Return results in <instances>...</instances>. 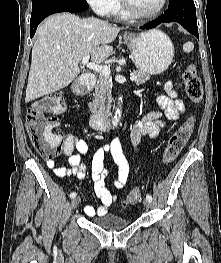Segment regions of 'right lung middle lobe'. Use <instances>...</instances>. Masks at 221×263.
<instances>
[{
    "label": "right lung middle lobe",
    "mask_w": 221,
    "mask_h": 263,
    "mask_svg": "<svg viewBox=\"0 0 221 263\" xmlns=\"http://www.w3.org/2000/svg\"><path fill=\"white\" fill-rule=\"evenodd\" d=\"M55 1H63V0H32V10L39 6H42V5L51 3V2H55Z\"/></svg>",
    "instance_id": "right-lung-middle-lobe-1"
}]
</instances>
